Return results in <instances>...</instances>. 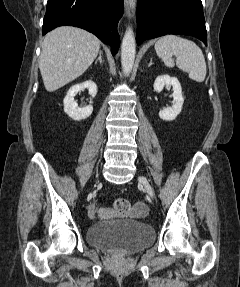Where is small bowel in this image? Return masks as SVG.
<instances>
[{"label":"small bowel","instance_id":"c3829d8e","mask_svg":"<svg viewBox=\"0 0 240 287\" xmlns=\"http://www.w3.org/2000/svg\"><path fill=\"white\" fill-rule=\"evenodd\" d=\"M147 207L143 202H136L133 206L134 212H142L143 214L146 212ZM89 215L90 217H106L110 215V212L107 209L98 208L95 205H91L89 208Z\"/></svg>","mask_w":240,"mask_h":287}]
</instances>
